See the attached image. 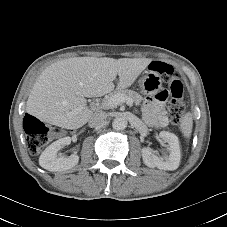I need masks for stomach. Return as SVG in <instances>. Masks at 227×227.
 I'll list each match as a JSON object with an SVG mask.
<instances>
[{"label":"stomach","instance_id":"1","mask_svg":"<svg viewBox=\"0 0 227 227\" xmlns=\"http://www.w3.org/2000/svg\"><path fill=\"white\" fill-rule=\"evenodd\" d=\"M138 84L143 94L154 95L158 89L162 88V79L157 72L148 70L146 74L139 79Z\"/></svg>","mask_w":227,"mask_h":227}]
</instances>
